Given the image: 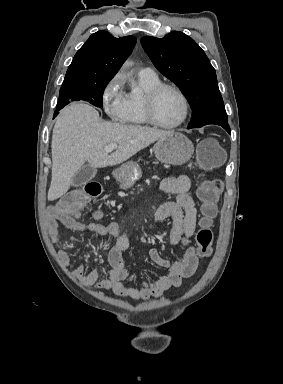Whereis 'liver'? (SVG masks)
Listing matches in <instances>:
<instances>
[{"label": "liver", "instance_id": "1", "mask_svg": "<svg viewBox=\"0 0 283 384\" xmlns=\"http://www.w3.org/2000/svg\"><path fill=\"white\" fill-rule=\"evenodd\" d=\"M171 134L174 132L100 122L99 112L93 106L74 102L60 112L53 128L49 202L68 192L73 176L85 162L91 168L118 166L156 140ZM108 144H118L117 150L108 154L104 150Z\"/></svg>", "mask_w": 283, "mask_h": 384}]
</instances>
